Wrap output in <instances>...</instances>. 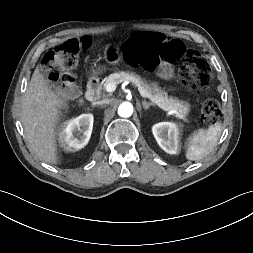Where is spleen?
Returning <instances> with one entry per match:
<instances>
[{
  "label": "spleen",
  "instance_id": "spleen-1",
  "mask_svg": "<svg viewBox=\"0 0 253 253\" xmlns=\"http://www.w3.org/2000/svg\"><path fill=\"white\" fill-rule=\"evenodd\" d=\"M222 125L215 123L208 130H199L189 138L186 145V158L198 161L210 154L221 136Z\"/></svg>",
  "mask_w": 253,
  "mask_h": 253
}]
</instances>
